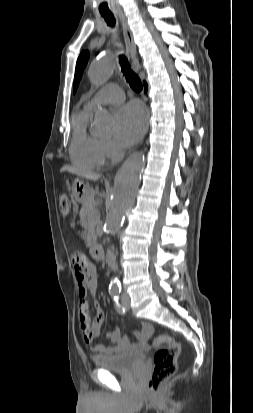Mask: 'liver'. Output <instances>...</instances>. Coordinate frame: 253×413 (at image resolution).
<instances>
[{
  "mask_svg": "<svg viewBox=\"0 0 253 413\" xmlns=\"http://www.w3.org/2000/svg\"><path fill=\"white\" fill-rule=\"evenodd\" d=\"M65 171H68L72 174H76L77 176L85 177V178H87L89 180H93V181H96L101 177V175H99V174L85 172V171H82V170H80L78 168H75V167H72V166H63L61 168L60 172H65Z\"/></svg>",
  "mask_w": 253,
  "mask_h": 413,
  "instance_id": "1",
  "label": "liver"
}]
</instances>
